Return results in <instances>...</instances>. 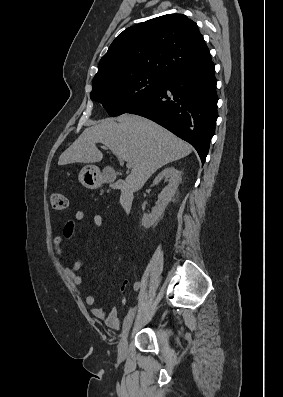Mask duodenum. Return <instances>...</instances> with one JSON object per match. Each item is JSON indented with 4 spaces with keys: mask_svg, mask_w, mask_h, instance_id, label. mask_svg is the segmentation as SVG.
Returning <instances> with one entry per match:
<instances>
[{
    "mask_svg": "<svg viewBox=\"0 0 283 397\" xmlns=\"http://www.w3.org/2000/svg\"><path fill=\"white\" fill-rule=\"evenodd\" d=\"M113 188L120 190V206L125 212H129L133 206L134 194L132 190L121 181L115 182Z\"/></svg>",
    "mask_w": 283,
    "mask_h": 397,
    "instance_id": "duodenum-1",
    "label": "duodenum"
}]
</instances>
